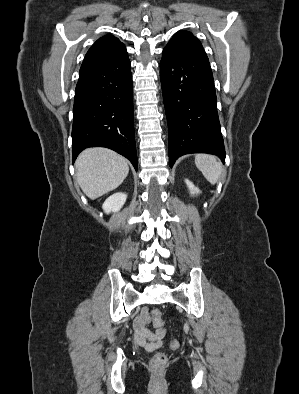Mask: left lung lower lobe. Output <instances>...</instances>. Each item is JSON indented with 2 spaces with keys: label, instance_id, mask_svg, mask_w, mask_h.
<instances>
[{
  "label": "left lung lower lobe",
  "instance_id": "obj_1",
  "mask_svg": "<svg viewBox=\"0 0 299 394\" xmlns=\"http://www.w3.org/2000/svg\"><path fill=\"white\" fill-rule=\"evenodd\" d=\"M160 78L168 121L169 164L189 153L225 161L217 98L208 57L164 49Z\"/></svg>",
  "mask_w": 299,
  "mask_h": 394
}]
</instances>
